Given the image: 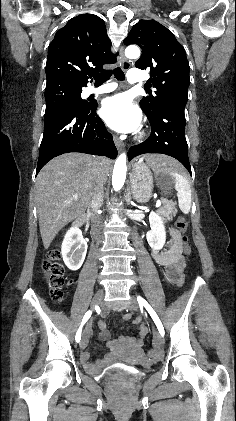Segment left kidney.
<instances>
[{
  "label": "left kidney",
  "instance_id": "1",
  "mask_svg": "<svg viewBox=\"0 0 236 421\" xmlns=\"http://www.w3.org/2000/svg\"><path fill=\"white\" fill-rule=\"evenodd\" d=\"M149 223L151 227V231H148L146 235V239L151 247V249H155V251H160L162 247L165 245L166 241V231L163 225V221L157 213H150L149 215Z\"/></svg>",
  "mask_w": 236,
  "mask_h": 421
}]
</instances>
